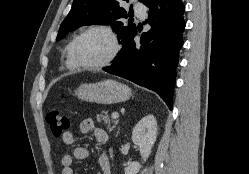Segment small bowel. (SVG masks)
<instances>
[{"label": "small bowel", "mask_w": 249, "mask_h": 174, "mask_svg": "<svg viewBox=\"0 0 249 174\" xmlns=\"http://www.w3.org/2000/svg\"><path fill=\"white\" fill-rule=\"evenodd\" d=\"M80 131L84 134L93 132L96 140L100 144H106L108 141L107 133L101 129L95 127L94 121L91 118L84 119L80 124ZM62 142L67 146H72L76 143V137L71 132L68 131L62 135ZM89 150L85 147L74 148L72 154H65L61 158V164L63 166L62 174H77L72 168V163L74 160H83L89 157ZM98 165L100 172L99 174H110L111 164L110 160L105 152H102L98 157Z\"/></svg>", "instance_id": "obj_1"}]
</instances>
